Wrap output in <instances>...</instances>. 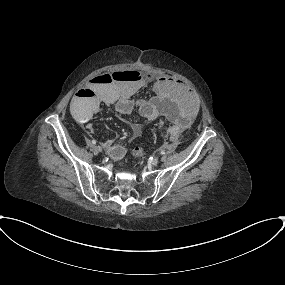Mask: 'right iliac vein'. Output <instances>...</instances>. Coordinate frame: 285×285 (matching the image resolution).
I'll return each mask as SVG.
<instances>
[{
    "mask_svg": "<svg viewBox=\"0 0 285 285\" xmlns=\"http://www.w3.org/2000/svg\"><path fill=\"white\" fill-rule=\"evenodd\" d=\"M95 149H96L97 152H102L103 151V148L100 145H96Z\"/></svg>",
    "mask_w": 285,
    "mask_h": 285,
    "instance_id": "63e3f726",
    "label": "right iliac vein"
}]
</instances>
